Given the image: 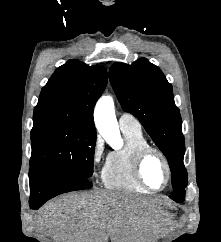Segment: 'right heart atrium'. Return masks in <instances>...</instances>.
<instances>
[{"mask_svg": "<svg viewBox=\"0 0 221 242\" xmlns=\"http://www.w3.org/2000/svg\"><path fill=\"white\" fill-rule=\"evenodd\" d=\"M104 145L100 137H95L91 146L90 160L94 168L98 167L103 159Z\"/></svg>", "mask_w": 221, "mask_h": 242, "instance_id": "right-heart-atrium-1", "label": "right heart atrium"}]
</instances>
